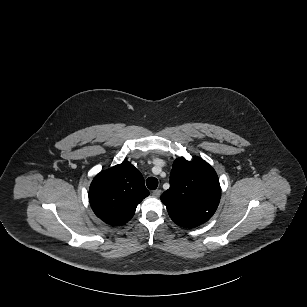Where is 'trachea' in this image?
Segmentation results:
<instances>
[{
  "label": "trachea",
  "mask_w": 307,
  "mask_h": 307,
  "mask_svg": "<svg viewBox=\"0 0 307 307\" xmlns=\"http://www.w3.org/2000/svg\"><path fill=\"white\" fill-rule=\"evenodd\" d=\"M146 185L149 189L151 190H155L158 186V180L154 177H149L147 180H146Z\"/></svg>",
  "instance_id": "obj_1"
}]
</instances>
